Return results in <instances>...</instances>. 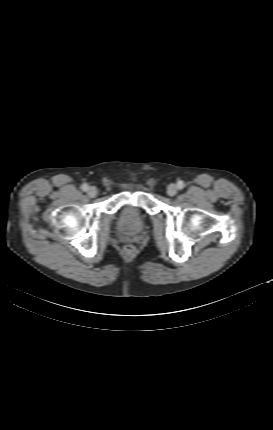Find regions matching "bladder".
<instances>
[{
    "label": "bladder",
    "mask_w": 273,
    "mask_h": 430,
    "mask_svg": "<svg viewBox=\"0 0 273 430\" xmlns=\"http://www.w3.org/2000/svg\"><path fill=\"white\" fill-rule=\"evenodd\" d=\"M117 222L121 231L135 233L143 228L145 217L139 209L127 205L119 211Z\"/></svg>",
    "instance_id": "obj_1"
}]
</instances>
